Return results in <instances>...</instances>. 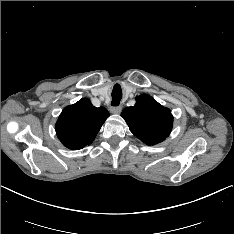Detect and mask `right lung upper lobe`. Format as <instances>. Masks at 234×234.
I'll list each match as a JSON object with an SVG mask.
<instances>
[{"label":"right lung upper lobe","mask_w":234,"mask_h":234,"mask_svg":"<svg viewBox=\"0 0 234 234\" xmlns=\"http://www.w3.org/2000/svg\"><path fill=\"white\" fill-rule=\"evenodd\" d=\"M108 117L106 108L94 107L83 98L64 108L55 125L56 134L64 146L79 150L92 143Z\"/></svg>","instance_id":"right-lung-upper-lobe-1"}]
</instances>
